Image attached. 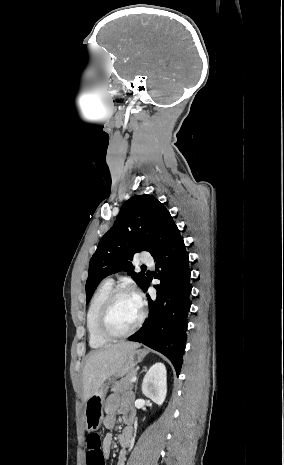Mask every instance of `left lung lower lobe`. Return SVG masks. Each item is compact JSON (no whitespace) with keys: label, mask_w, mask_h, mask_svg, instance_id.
<instances>
[{"label":"left lung lower lobe","mask_w":284,"mask_h":465,"mask_svg":"<svg viewBox=\"0 0 284 465\" xmlns=\"http://www.w3.org/2000/svg\"><path fill=\"white\" fill-rule=\"evenodd\" d=\"M156 272L154 277L161 282L154 285L157 297L149 295V318L143 329L129 338L164 354L173 364L177 375L182 366V355L186 346L188 312L190 310V269L189 256L183 238L177 229L166 247L154 256ZM147 291V278L141 285Z\"/></svg>","instance_id":"1"}]
</instances>
